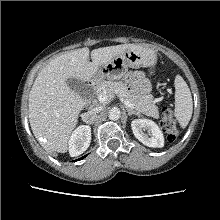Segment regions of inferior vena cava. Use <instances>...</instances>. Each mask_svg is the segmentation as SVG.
<instances>
[{"instance_id":"obj_1","label":"inferior vena cava","mask_w":220,"mask_h":220,"mask_svg":"<svg viewBox=\"0 0 220 220\" xmlns=\"http://www.w3.org/2000/svg\"><path fill=\"white\" fill-rule=\"evenodd\" d=\"M102 108L101 107H95L93 109H91L90 111H88L87 113H84L82 115L83 120H87L89 116H94L97 113L101 112Z\"/></svg>"}]
</instances>
